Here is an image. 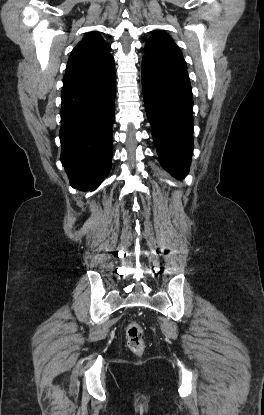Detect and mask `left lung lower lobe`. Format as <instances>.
I'll list each match as a JSON object with an SVG mask.
<instances>
[{"instance_id": "left-lung-lower-lobe-1", "label": "left lung lower lobe", "mask_w": 264, "mask_h": 415, "mask_svg": "<svg viewBox=\"0 0 264 415\" xmlns=\"http://www.w3.org/2000/svg\"><path fill=\"white\" fill-rule=\"evenodd\" d=\"M142 89L160 163L183 179L193 151V97L187 68L143 57Z\"/></svg>"}]
</instances>
